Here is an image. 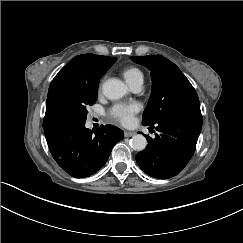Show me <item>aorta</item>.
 Wrapping results in <instances>:
<instances>
[{
    "label": "aorta",
    "instance_id": "762f6f07",
    "mask_svg": "<svg viewBox=\"0 0 243 243\" xmlns=\"http://www.w3.org/2000/svg\"><path fill=\"white\" fill-rule=\"evenodd\" d=\"M102 93L105 98L113 101L125 95L126 87L120 80L109 79L102 84ZM129 144L133 150L142 151L146 148L147 141L143 135L136 134L130 139Z\"/></svg>",
    "mask_w": 243,
    "mask_h": 243
}]
</instances>
